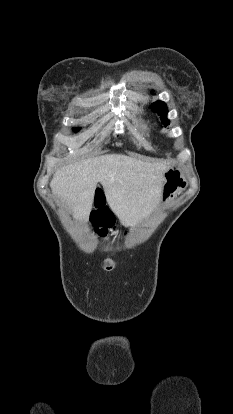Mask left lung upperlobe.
Returning <instances> with one entry per match:
<instances>
[{
  "label": "left lung upper lobe",
  "mask_w": 233,
  "mask_h": 414,
  "mask_svg": "<svg viewBox=\"0 0 233 414\" xmlns=\"http://www.w3.org/2000/svg\"><path fill=\"white\" fill-rule=\"evenodd\" d=\"M151 109L153 112L158 113L160 115V119L163 124H165V127L169 125L170 121L167 119V105L162 101H157L155 103L151 104Z\"/></svg>",
  "instance_id": "obj_1"
}]
</instances>
